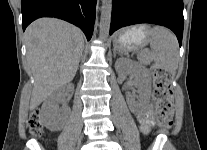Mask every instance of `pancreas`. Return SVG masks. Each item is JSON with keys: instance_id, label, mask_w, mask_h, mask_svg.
<instances>
[{"instance_id": "cf45deb5", "label": "pancreas", "mask_w": 207, "mask_h": 150, "mask_svg": "<svg viewBox=\"0 0 207 150\" xmlns=\"http://www.w3.org/2000/svg\"><path fill=\"white\" fill-rule=\"evenodd\" d=\"M139 59L144 64H149L150 63V57H149L148 54H145V53L139 54Z\"/></svg>"}]
</instances>
